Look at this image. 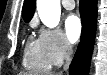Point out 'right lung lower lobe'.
Here are the masks:
<instances>
[{
  "mask_svg": "<svg viewBox=\"0 0 107 75\" xmlns=\"http://www.w3.org/2000/svg\"><path fill=\"white\" fill-rule=\"evenodd\" d=\"M79 10L82 21V32L80 43L69 67L70 75L89 74L96 35L97 0H80Z\"/></svg>",
  "mask_w": 107,
  "mask_h": 75,
  "instance_id": "obj_1",
  "label": "right lung lower lobe"
}]
</instances>
